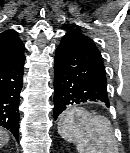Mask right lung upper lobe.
Wrapping results in <instances>:
<instances>
[{
  "label": "right lung upper lobe",
  "instance_id": "cb5924a9",
  "mask_svg": "<svg viewBox=\"0 0 130 153\" xmlns=\"http://www.w3.org/2000/svg\"><path fill=\"white\" fill-rule=\"evenodd\" d=\"M24 44L17 32L7 30L0 34V64L13 62L24 56Z\"/></svg>",
  "mask_w": 130,
  "mask_h": 153
}]
</instances>
